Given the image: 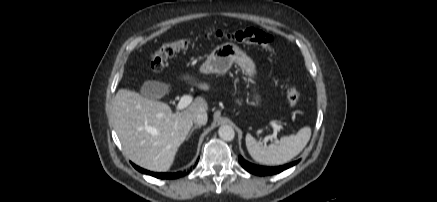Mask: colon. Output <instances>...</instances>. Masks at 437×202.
<instances>
[{
  "mask_svg": "<svg viewBox=\"0 0 437 202\" xmlns=\"http://www.w3.org/2000/svg\"><path fill=\"white\" fill-rule=\"evenodd\" d=\"M205 39L229 40L241 44L259 45L267 51L274 52L273 37L259 29L245 28L232 32L215 31L205 36ZM194 41L190 39H176L164 43L150 58V68L154 72L161 71L167 61L177 53L186 50ZM290 105L296 106L300 101V92L298 88L291 84L286 93Z\"/></svg>",
  "mask_w": 437,
  "mask_h": 202,
  "instance_id": "colon-1",
  "label": "colon"
}]
</instances>
